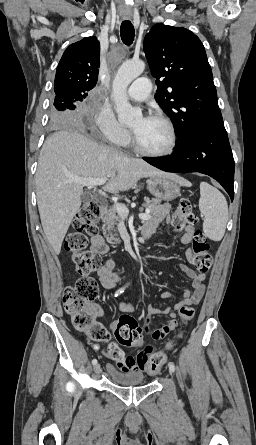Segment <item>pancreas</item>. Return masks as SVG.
<instances>
[{
  "label": "pancreas",
  "instance_id": "pancreas-1",
  "mask_svg": "<svg viewBox=\"0 0 256 445\" xmlns=\"http://www.w3.org/2000/svg\"><path fill=\"white\" fill-rule=\"evenodd\" d=\"M143 206L150 211V214L153 216L152 220L161 221L169 212L163 208L161 205V200L159 199H146ZM120 220L121 216L118 214L115 207H111L106 210L105 216L103 217L104 224L102 229L103 235L106 237L108 242H120L118 238H115L117 234L113 233Z\"/></svg>",
  "mask_w": 256,
  "mask_h": 445
}]
</instances>
